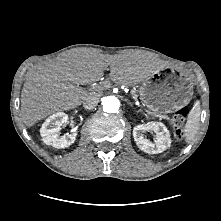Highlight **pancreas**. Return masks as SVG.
Listing matches in <instances>:
<instances>
[{"mask_svg": "<svg viewBox=\"0 0 221 221\" xmlns=\"http://www.w3.org/2000/svg\"><path fill=\"white\" fill-rule=\"evenodd\" d=\"M132 96H133L134 99L137 98V95L135 93H132Z\"/></svg>", "mask_w": 221, "mask_h": 221, "instance_id": "obj_1", "label": "pancreas"}]
</instances>
